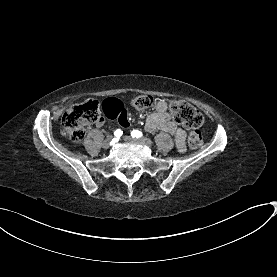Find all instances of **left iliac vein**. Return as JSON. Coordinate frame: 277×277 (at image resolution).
Here are the masks:
<instances>
[{
	"label": "left iliac vein",
	"mask_w": 277,
	"mask_h": 277,
	"mask_svg": "<svg viewBox=\"0 0 277 277\" xmlns=\"http://www.w3.org/2000/svg\"><path fill=\"white\" fill-rule=\"evenodd\" d=\"M124 140L128 141V142H132V141L138 142V143L144 144V145L149 146V147L152 146V144H153V142L149 138L135 139V138H133L131 136H125Z\"/></svg>",
	"instance_id": "1"
}]
</instances>
